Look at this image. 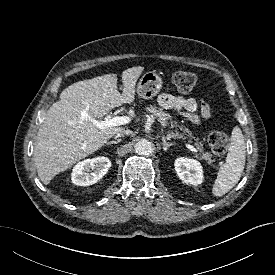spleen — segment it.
<instances>
[{
    "label": "spleen",
    "mask_w": 275,
    "mask_h": 275,
    "mask_svg": "<svg viewBox=\"0 0 275 275\" xmlns=\"http://www.w3.org/2000/svg\"><path fill=\"white\" fill-rule=\"evenodd\" d=\"M246 159L245 141L239 127H234L226 162L220 167L212 193L221 197L229 192L240 180Z\"/></svg>",
    "instance_id": "3e777b00"
}]
</instances>
